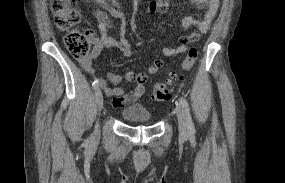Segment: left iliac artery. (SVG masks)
Instances as JSON below:
<instances>
[{
    "label": "left iliac artery",
    "mask_w": 285,
    "mask_h": 183,
    "mask_svg": "<svg viewBox=\"0 0 285 183\" xmlns=\"http://www.w3.org/2000/svg\"><path fill=\"white\" fill-rule=\"evenodd\" d=\"M180 105L182 106L185 115H186V121H187V126H188V130L190 134H194L195 133V127H194V123L190 114V108H189V104L187 102V100L184 97H181L179 99Z\"/></svg>",
    "instance_id": "44dca946"
}]
</instances>
